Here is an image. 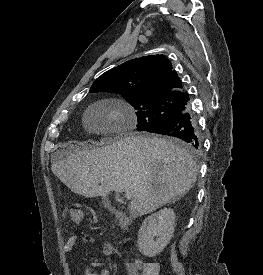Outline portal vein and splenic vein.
Returning a JSON list of instances; mask_svg holds the SVG:
<instances>
[{
  "label": "portal vein and splenic vein",
  "instance_id": "portal-vein-and-splenic-vein-1",
  "mask_svg": "<svg viewBox=\"0 0 263 275\" xmlns=\"http://www.w3.org/2000/svg\"><path fill=\"white\" fill-rule=\"evenodd\" d=\"M125 196H126L127 199L132 198V194L130 192H125Z\"/></svg>",
  "mask_w": 263,
  "mask_h": 275
}]
</instances>
